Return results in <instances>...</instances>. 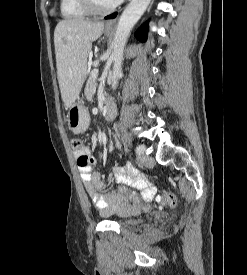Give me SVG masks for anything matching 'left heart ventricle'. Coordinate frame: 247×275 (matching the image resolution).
<instances>
[{
  "label": "left heart ventricle",
  "mask_w": 247,
  "mask_h": 275,
  "mask_svg": "<svg viewBox=\"0 0 247 275\" xmlns=\"http://www.w3.org/2000/svg\"><path fill=\"white\" fill-rule=\"evenodd\" d=\"M95 2L101 8H109L114 5L113 0H95Z\"/></svg>",
  "instance_id": "1"
}]
</instances>
